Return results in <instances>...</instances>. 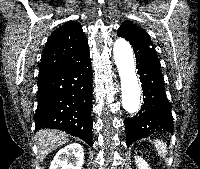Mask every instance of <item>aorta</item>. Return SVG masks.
<instances>
[{
    "mask_svg": "<svg viewBox=\"0 0 200 169\" xmlns=\"http://www.w3.org/2000/svg\"><path fill=\"white\" fill-rule=\"evenodd\" d=\"M113 55L121 81L123 108L130 114L136 113L140 108L141 90L132 47L125 39L119 38L114 42Z\"/></svg>",
    "mask_w": 200,
    "mask_h": 169,
    "instance_id": "aorta-1",
    "label": "aorta"
}]
</instances>
